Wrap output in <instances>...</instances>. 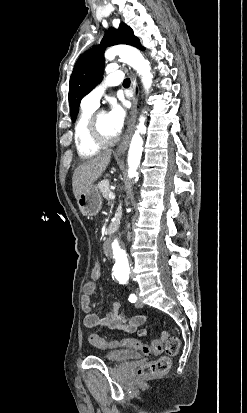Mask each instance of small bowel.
Listing matches in <instances>:
<instances>
[{"label":"small bowel","mask_w":247,"mask_h":413,"mask_svg":"<svg viewBox=\"0 0 247 413\" xmlns=\"http://www.w3.org/2000/svg\"><path fill=\"white\" fill-rule=\"evenodd\" d=\"M97 289V282H86L83 287L81 298L82 309L85 313L84 325L89 329L101 331L105 328L117 331L136 332L137 329L146 322L145 315H136L128 318L127 314L120 311V304H112V311L104 312L92 299ZM144 329L149 325L144 324ZM138 337H147V330H138Z\"/></svg>","instance_id":"small-bowel-1"}]
</instances>
